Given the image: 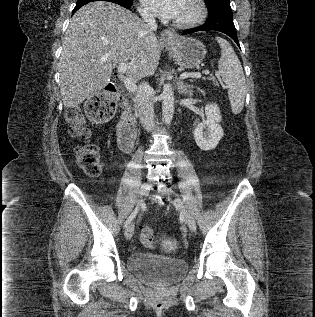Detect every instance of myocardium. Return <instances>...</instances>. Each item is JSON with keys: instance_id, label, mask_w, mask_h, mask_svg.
I'll return each instance as SVG.
<instances>
[{"instance_id": "obj_1", "label": "myocardium", "mask_w": 315, "mask_h": 317, "mask_svg": "<svg viewBox=\"0 0 315 317\" xmlns=\"http://www.w3.org/2000/svg\"><path fill=\"white\" fill-rule=\"evenodd\" d=\"M196 8L195 15L188 20H174L173 24L179 28H192L200 25L207 16V7L204 0H192Z\"/></svg>"}]
</instances>
